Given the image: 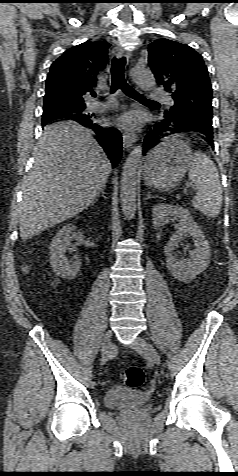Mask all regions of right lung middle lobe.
<instances>
[{"mask_svg":"<svg viewBox=\"0 0 238 476\" xmlns=\"http://www.w3.org/2000/svg\"><path fill=\"white\" fill-rule=\"evenodd\" d=\"M85 105H73L57 102H44L42 123L47 124L54 120H87L92 119L93 114L86 112Z\"/></svg>","mask_w":238,"mask_h":476,"instance_id":"right-lung-middle-lobe-1","label":"right lung middle lobe"}]
</instances>
